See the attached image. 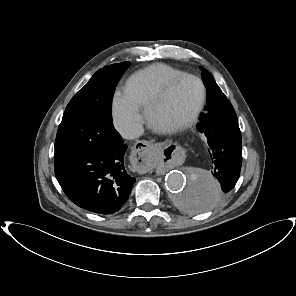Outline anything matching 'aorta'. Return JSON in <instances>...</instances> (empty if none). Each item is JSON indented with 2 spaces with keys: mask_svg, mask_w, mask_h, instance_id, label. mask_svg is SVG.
Returning <instances> with one entry per match:
<instances>
[{
  "mask_svg": "<svg viewBox=\"0 0 296 296\" xmlns=\"http://www.w3.org/2000/svg\"><path fill=\"white\" fill-rule=\"evenodd\" d=\"M165 185L174 207L185 214L207 212L219 198L220 184L208 171L195 167L168 173Z\"/></svg>",
  "mask_w": 296,
  "mask_h": 296,
  "instance_id": "obj_1",
  "label": "aorta"
}]
</instances>
